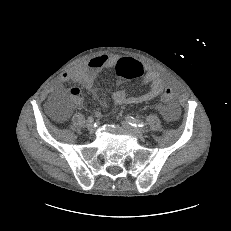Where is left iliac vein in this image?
Segmentation results:
<instances>
[{"instance_id": "left-iliac-vein-1", "label": "left iliac vein", "mask_w": 231, "mask_h": 231, "mask_svg": "<svg viewBox=\"0 0 231 231\" xmlns=\"http://www.w3.org/2000/svg\"><path fill=\"white\" fill-rule=\"evenodd\" d=\"M122 125L123 127L128 130L133 136L141 139L143 138V132L141 129L139 128H135V127H132L131 125H129L127 122L123 121L122 122Z\"/></svg>"}]
</instances>
